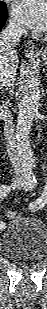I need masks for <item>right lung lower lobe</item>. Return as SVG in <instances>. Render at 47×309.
Wrapping results in <instances>:
<instances>
[{"instance_id":"obj_1","label":"right lung lower lobe","mask_w":47,"mask_h":309,"mask_svg":"<svg viewBox=\"0 0 47 309\" xmlns=\"http://www.w3.org/2000/svg\"><path fill=\"white\" fill-rule=\"evenodd\" d=\"M7 9L6 7L0 10V30L5 24V21L7 20Z\"/></svg>"}]
</instances>
